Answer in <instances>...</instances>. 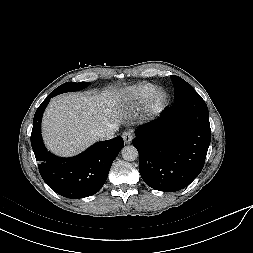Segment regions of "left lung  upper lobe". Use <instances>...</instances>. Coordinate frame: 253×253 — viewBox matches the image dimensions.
I'll return each instance as SVG.
<instances>
[{
  "label": "left lung upper lobe",
  "instance_id": "1",
  "mask_svg": "<svg viewBox=\"0 0 253 253\" xmlns=\"http://www.w3.org/2000/svg\"><path fill=\"white\" fill-rule=\"evenodd\" d=\"M171 79L175 87V103L198 95V93L192 88V86L182 78L176 75H172Z\"/></svg>",
  "mask_w": 253,
  "mask_h": 253
}]
</instances>
